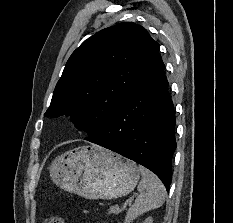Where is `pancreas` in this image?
Segmentation results:
<instances>
[{
  "mask_svg": "<svg viewBox=\"0 0 233 223\" xmlns=\"http://www.w3.org/2000/svg\"><path fill=\"white\" fill-rule=\"evenodd\" d=\"M110 209L111 211H109V213H116V211H118V207H115V205H111Z\"/></svg>",
  "mask_w": 233,
  "mask_h": 223,
  "instance_id": "pancreas-1",
  "label": "pancreas"
}]
</instances>
